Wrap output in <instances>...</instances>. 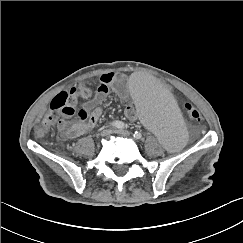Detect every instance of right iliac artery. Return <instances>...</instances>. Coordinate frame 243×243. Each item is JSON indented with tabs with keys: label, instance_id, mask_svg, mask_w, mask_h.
Wrapping results in <instances>:
<instances>
[{
	"label": "right iliac artery",
	"instance_id": "1",
	"mask_svg": "<svg viewBox=\"0 0 243 243\" xmlns=\"http://www.w3.org/2000/svg\"><path fill=\"white\" fill-rule=\"evenodd\" d=\"M110 126H112L114 128H118V129H124L125 124L121 121H113L110 123Z\"/></svg>",
	"mask_w": 243,
	"mask_h": 243
}]
</instances>
